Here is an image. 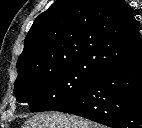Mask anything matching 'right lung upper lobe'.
I'll use <instances>...</instances> for the list:
<instances>
[{
  "label": "right lung upper lobe",
  "mask_w": 142,
  "mask_h": 128,
  "mask_svg": "<svg viewBox=\"0 0 142 128\" xmlns=\"http://www.w3.org/2000/svg\"><path fill=\"white\" fill-rule=\"evenodd\" d=\"M141 55L138 29L124 0H57L29 30L17 80L66 66H83L97 76Z\"/></svg>",
  "instance_id": "right-lung-upper-lobe-1"
}]
</instances>
